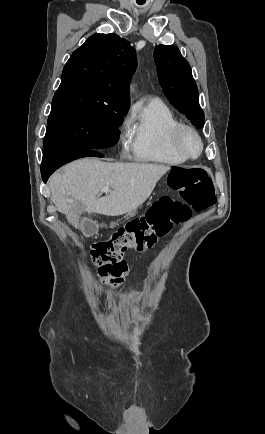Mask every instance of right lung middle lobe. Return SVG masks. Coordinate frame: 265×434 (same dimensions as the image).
I'll use <instances>...</instances> for the list:
<instances>
[{"label": "right lung middle lobe", "instance_id": "dd1d6c3e", "mask_svg": "<svg viewBox=\"0 0 265 434\" xmlns=\"http://www.w3.org/2000/svg\"><path fill=\"white\" fill-rule=\"evenodd\" d=\"M129 101L88 83L60 84L47 122L43 154L100 150L117 143Z\"/></svg>", "mask_w": 265, "mask_h": 434}]
</instances>
